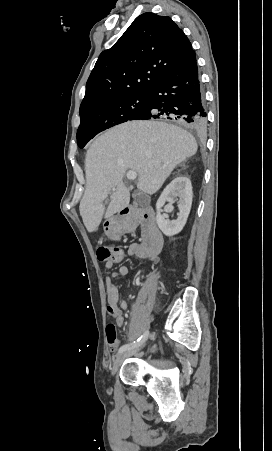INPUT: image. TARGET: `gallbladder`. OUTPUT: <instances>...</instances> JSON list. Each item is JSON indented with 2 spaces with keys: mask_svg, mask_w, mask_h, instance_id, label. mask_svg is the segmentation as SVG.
<instances>
[{
  "mask_svg": "<svg viewBox=\"0 0 272 451\" xmlns=\"http://www.w3.org/2000/svg\"><path fill=\"white\" fill-rule=\"evenodd\" d=\"M134 204H136V206H142V208H144V206H145V204H143V202H140L139 198H135Z\"/></svg>",
  "mask_w": 272,
  "mask_h": 451,
  "instance_id": "gallbladder-1",
  "label": "gallbladder"
}]
</instances>
